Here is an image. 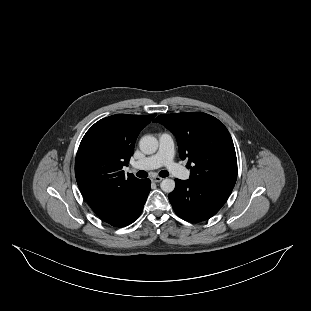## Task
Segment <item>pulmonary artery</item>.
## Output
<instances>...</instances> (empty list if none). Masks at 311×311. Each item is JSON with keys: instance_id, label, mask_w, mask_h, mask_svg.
<instances>
[{"instance_id": "pulmonary-artery-1", "label": "pulmonary artery", "mask_w": 311, "mask_h": 311, "mask_svg": "<svg viewBox=\"0 0 311 311\" xmlns=\"http://www.w3.org/2000/svg\"><path fill=\"white\" fill-rule=\"evenodd\" d=\"M175 143L169 133H160L158 135V151L155 155L144 158L132 164L137 170H154L160 167H166L174 175L182 179H188L189 171L174 161Z\"/></svg>"}]
</instances>
